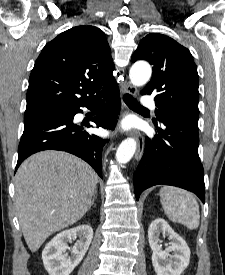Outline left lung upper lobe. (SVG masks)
Masks as SVG:
<instances>
[{"label": "left lung upper lobe", "instance_id": "5c2ea615", "mask_svg": "<svg viewBox=\"0 0 225 275\" xmlns=\"http://www.w3.org/2000/svg\"><path fill=\"white\" fill-rule=\"evenodd\" d=\"M131 60H147L153 65L151 81L141 94L155 95L159 121L171 117L198 126L199 79L187 48L168 36L152 33L141 40Z\"/></svg>", "mask_w": 225, "mask_h": 275}]
</instances>
